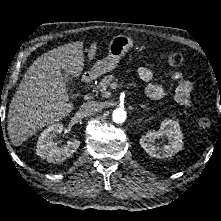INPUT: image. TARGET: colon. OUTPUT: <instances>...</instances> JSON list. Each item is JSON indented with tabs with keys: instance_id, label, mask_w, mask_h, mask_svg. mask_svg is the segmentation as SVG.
I'll list each match as a JSON object with an SVG mask.
<instances>
[{
	"instance_id": "5ec220e1",
	"label": "colon",
	"mask_w": 221,
	"mask_h": 221,
	"mask_svg": "<svg viewBox=\"0 0 221 221\" xmlns=\"http://www.w3.org/2000/svg\"><path fill=\"white\" fill-rule=\"evenodd\" d=\"M162 58L170 66H180L184 60L181 53H167L164 54ZM197 124L202 129H209L212 126L211 120L206 117L199 118Z\"/></svg>"
}]
</instances>
